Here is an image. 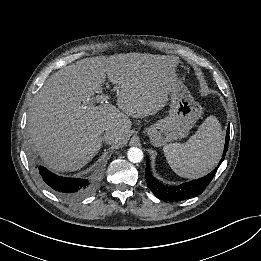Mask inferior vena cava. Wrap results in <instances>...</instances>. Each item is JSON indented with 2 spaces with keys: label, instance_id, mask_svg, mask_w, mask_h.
Segmentation results:
<instances>
[{
  "label": "inferior vena cava",
  "instance_id": "602c4592",
  "mask_svg": "<svg viewBox=\"0 0 261 261\" xmlns=\"http://www.w3.org/2000/svg\"><path fill=\"white\" fill-rule=\"evenodd\" d=\"M113 136H114L113 133H111L110 131H106V132H105V135H104V140H105L106 142H108V141L111 139V137H113Z\"/></svg>",
  "mask_w": 261,
  "mask_h": 261
}]
</instances>
